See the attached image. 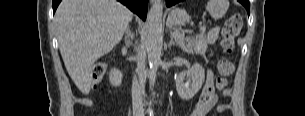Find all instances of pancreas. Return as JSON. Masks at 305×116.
Here are the masks:
<instances>
[{
    "label": "pancreas",
    "instance_id": "pancreas-1",
    "mask_svg": "<svg viewBox=\"0 0 305 116\" xmlns=\"http://www.w3.org/2000/svg\"><path fill=\"white\" fill-rule=\"evenodd\" d=\"M180 41H184L183 39H179ZM210 43V39L207 38L205 33H200L193 37L192 39L188 40L186 45H182L183 50L189 54H199L204 55L207 49V44Z\"/></svg>",
    "mask_w": 305,
    "mask_h": 116
}]
</instances>
